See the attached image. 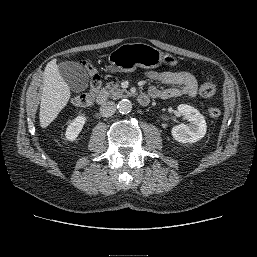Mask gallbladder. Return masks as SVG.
Segmentation results:
<instances>
[{
  "instance_id": "1",
  "label": "gallbladder",
  "mask_w": 257,
  "mask_h": 257,
  "mask_svg": "<svg viewBox=\"0 0 257 257\" xmlns=\"http://www.w3.org/2000/svg\"><path fill=\"white\" fill-rule=\"evenodd\" d=\"M60 75L74 92L84 91L89 77L86 69L77 62L64 61L58 64Z\"/></svg>"
}]
</instances>
